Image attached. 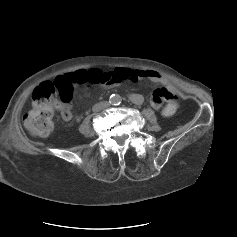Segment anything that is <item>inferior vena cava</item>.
<instances>
[{
    "label": "inferior vena cava",
    "instance_id": "inferior-vena-cava-1",
    "mask_svg": "<svg viewBox=\"0 0 237 237\" xmlns=\"http://www.w3.org/2000/svg\"><path fill=\"white\" fill-rule=\"evenodd\" d=\"M106 106H107L106 102H101V103L95 104L93 107V110L97 111V110L104 108Z\"/></svg>",
    "mask_w": 237,
    "mask_h": 237
}]
</instances>
